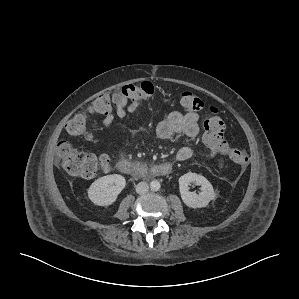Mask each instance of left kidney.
<instances>
[{"mask_svg":"<svg viewBox=\"0 0 299 299\" xmlns=\"http://www.w3.org/2000/svg\"><path fill=\"white\" fill-rule=\"evenodd\" d=\"M190 183L200 185L201 192L197 194L189 191ZM179 190L183 202L191 208L206 207L210 201L216 198L211 183L204 176L192 172H188L179 178Z\"/></svg>","mask_w":299,"mask_h":299,"instance_id":"5707ae66","label":"left kidney"}]
</instances>
